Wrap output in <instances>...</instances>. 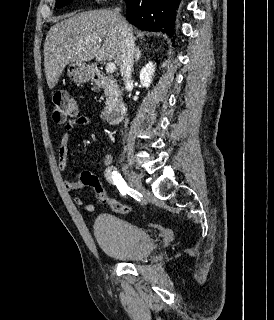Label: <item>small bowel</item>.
Segmentation results:
<instances>
[{"mask_svg":"<svg viewBox=\"0 0 274 320\" xmlns=\"http://www.w3.org/2000/svg\"><path fill=\"white\" fill-rule=\"evenodd\" d=\"M90 124V119L83 115H76L71 120H69L64 126V132L61 136L59 147H58V169L63 172L67 169L68 166V157H69V141L71 138V134L73 130L77 127L81 126H88ZM113 158L110 154H106L104 156L103 164L106 170H109L112 166ZM88 175L92 173L88 171H83ZM64 186L68 191H76L79 190L87 185L82 183L80 180L77 181H70L66 180L64 182ZM74 202L77 205H83L84 210L88 213H92L95 209L93 203H86L84 204V199L82 196H75Z\"/></svg>","mask_w":274,"mask_h":320,"instance_id":"1","label":"small bowel"}]
</instances>
